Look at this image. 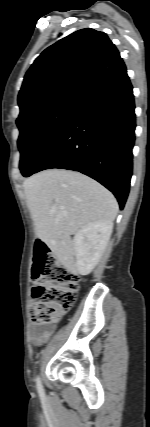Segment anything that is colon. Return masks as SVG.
<instances>
[{
    "label": "colon",
    "mask_w": 150,
    "mask_h": 427,
    "mask_svg": "<svg viewBox=\"0 0 150 427\" xmlns=\"http://www.w3.org/2000/svg\"><path fill=\"white\" fill-rule=\"evenodd\" d=\"M33 276L36 284L30 292L31 321L38 326L55 325L75 301L79 277L40 240L35 242Z\"/></svg>",
    "instance_id": "1"
}]
</instances>
